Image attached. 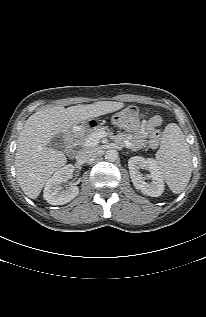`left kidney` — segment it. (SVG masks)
Segmentation results:
<instances>
[{
  "label": "left kidney",
  "mask_w": 206,
  "mask_h": 317,
  "mask_svg": "<svg viewBox=\"0 0 206 317\" xmlns=\"http://www.w3.org/2000/svg\"><path fill=\"white\" fill-rule=\"evenodd\" d=\"M128 167L130 178L136 189L151 197H158L163 193V178L154 159L134 156L128 160ZM140 169H146L150 172L147 177L151 179V182L145 181V177L139 171Z\"/></svg>",
  "instance_id": "5707ae66"
}]
</instances>
